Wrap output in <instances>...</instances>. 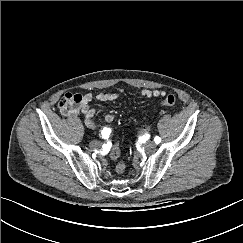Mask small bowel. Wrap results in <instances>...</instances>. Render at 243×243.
Instances as JSON below:
<instances>
[{
	"label": "small bowel",
	"instance_id": "c3829d8e",
	"mask_svg": "<svg viewBox=\"0 0 243 243\" xmlns=\"http://www.w3.org/2000/svg\"><path fill=\"white\" fill-rule=\"evenodd\" d=\"M123 91H124L123 89H118V92H114V93L100 92L96 95V99L99 102H113L119 98L120 93H122ZM140 95L144 98H158L164 96L165 93L164 91L158 89H154V90L145 89L140 92ZM92 99H93L92 94L90 93L85 94L83 103L81 104L79 109L72 114L75 115L80 112L84 117L85 125L89 128L95 127L93 117L98 114V110L91 108L89 105ZM104 119L107 123H112L115 119V115L113 113H106L104 115ZM109 135H110V130L108 128H104L102 130V136L107 139Z\"/></svg>",
	"mask_w": 243,
	"mask_h": 243
}]
</instances>
